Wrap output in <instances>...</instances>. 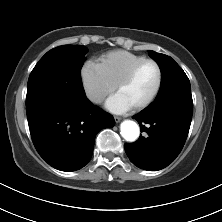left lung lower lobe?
Here are the masks:
<instances>
[{
	"label": "left lung lower lobe",
	"instance_id": "0a47b994",
	"mask_svg": "<svg viewBox=\"0 0 222 222\" xmlns=\"http://www.w3.org/2000/svg\"><path fill=\"white\" fill-rule=\"evenodd\" d=\"M193 112L191 94L171 93L156 99L133 116L141 132L148 135L125 144L130 161L137 167L156 171L172 163L186 141ZM148 124L149 127H145Z\"/></svg>",
	"mask_w": 222,
	"mask_h": 222
}]
</instances>
